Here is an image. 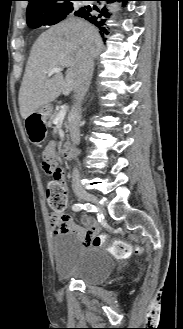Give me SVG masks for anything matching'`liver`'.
<instances>
[{
  "label": "liver",
  "instance_id": "1",
  "mask_svg": "<svg viewBox=\"0 0 183 329\" xmlns=\"http://www.w3.org/2000/svg\"><path fill=\"white\" fill-rule=\"evenodd\" d=\"M101 49L99 30L84 19L69 18L42 33L32 47L19 91L22 118L27 119L62 92L76 89L82 57L96 58ZM54 67H68L65 78L60 72L50 78L48 73Z\"/></svg>",
  "mask_w": 183,
  "mask_h": 329
}]
</instances>
